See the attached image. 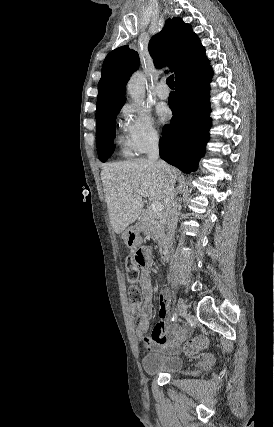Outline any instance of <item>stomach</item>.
Wrapping results in <instances>:
<instances>
[{
	"instance_id": "stomach-1",
	"label": "stomach",
	"mask_w": 274,
	"mask_h": 427,
	"mask_svg": "<svg viewBox=\"0 0 274 427\" xmlns=\"http://www.w3.org/2000/svg\"><path fill=\"white\" fill-rule=\"evenodd\" d=\"M122 237L128 247H138L142 241L139 225H129Z\"/></svg>"
}]
</instances>
